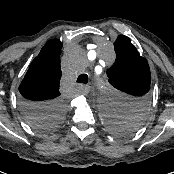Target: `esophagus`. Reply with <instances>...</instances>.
<instances>
[{
	"label": "esophagus",
	"instance_id": "1",
	"mask_svg": "<svg viewBox=\"0 0 174 174\" xmlns=\"http://www.w3.org/2000/svg\"><path fill=\"white\" fill-rule=\"evenodd\" d=\"M89 91H90V86H83L82 87V93L83 94H87V93H89Z\"/></svg>",
	"mask_w": 174,
	"mask_h": 174
}]
</instances>
